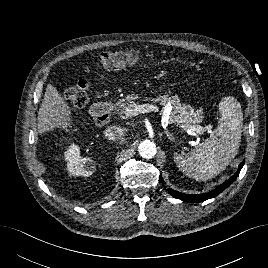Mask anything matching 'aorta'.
<instances>
[{"instance_id": "obj_1", "label": "aorta", "mask_w": 268, "mask_h": 268, "mask_svg": "<svg viewBox=\"0 0 268 268\" xmlns=\"http://www.w3.org/2000/svg\"><path fill=\"white\" fill-rule=\"evenodd\" d=\"M138 151L141 157L151 159L156 154V145L150 140H144L140 143Z\"/></svg>"}]
</instances>
